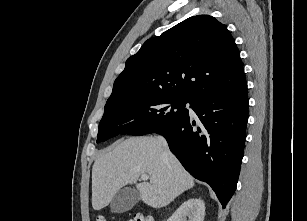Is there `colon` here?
Instances as JSON below:
<instances>
[{"mask_svg":"<svg viewBox=\"0 0 307 221\" xmlns=\"http://www.w3.org/2000/svg\"><path fill=\"white\" fill-rule=\"evenodd\" d=\"M95 221H108V219L104 215L98 214L95 218ZM128 221H151V217H147L144 215H135Z\"/></svg>","mask_w":307,"mask_h":221,"instance_id":"obj_1","label":"colon"}]
</instances>
